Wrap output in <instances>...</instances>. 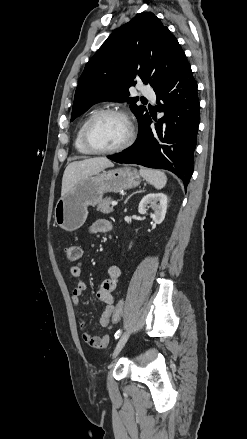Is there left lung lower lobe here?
Masks as SVG:
<instances>
[{
	"label": "left lung lower lobe",
	"instance_id": "obj_1",
	"mask_svg": "<svg viewBox=\"0 0 247 439\" xmlns=\"http://www.w3.org/2000/svg\"><path fill=\"white\" fill-rule=\"evenodd\" d=\"M197 83L190 65L183 61L177 71L157 90L158 110L165 115L151 129L148 115L139 125L137 141L123 152L108 156L118 163H133L166 169L187 187L193 173V153L199 121ZM161 101V102H160Z\"/></svg>",
	"mask_w": 247,
	"mask_h": 439
}]
</instances>
